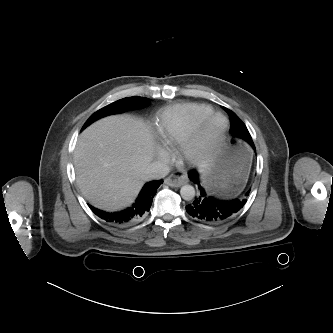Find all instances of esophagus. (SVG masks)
I'll return each mask as SVG.
<instances>
[{
    "label": "esophagus",
    "mask_w": 333,
    "mask_h": 333,
    "mask_svg": "<svg viewBox=\"0 0 333 333\" xmlns=\"http://www.w3.org/2000/svg\"><path fill=\"white\" fill-rule=\"evenodd\" d=\"M164 182L171 187H180L187 182V178L184 174H176L166 178Z\"/></svg>",
    "instance_id": "esophagus-1"
}]
</instances>
